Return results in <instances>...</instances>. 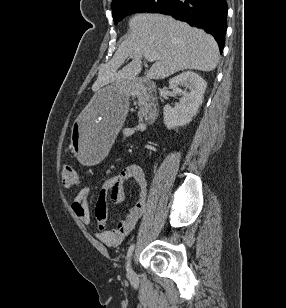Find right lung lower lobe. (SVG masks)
<instances>
[{"instance_id":"1","label":"right lung lower lobe","mask_w":286,"mask_h":308,"mask_svg":"<svg viewBox=\"0 0 286 308\" xmlns=\"http://www.w3.org/2000/svg\"><path fill=\"white\" fill-rule=\"evenodd\" d=\"M153 12L171 15L212 34L222 53L227 29L226 0H167Z\"/></svg>"}]
</instances>
